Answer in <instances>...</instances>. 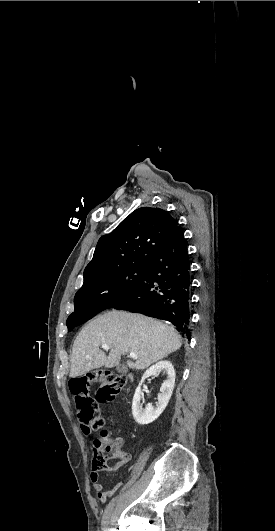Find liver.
<instances>
[{"instance_id": "6515ba94", "label": "liver", "mask_w": 275, "mask_h": 531, "mask_svg": "<svg viewBox=\"0 0 275 531\" xmlns=\"http://www.w3.org/2000/svg\"><path fill=\"white\" fill-rule=\"evenodd\" d=\"M100 345H109L110 353L100 351ZM181 337L173 325H164L151 317L106 311L89 321L74 341L69 377H80L99 367H117L121 355L136 353L138 359L127 361L129 369H147L153 363L180 349Z\"/></svg>"}]
</instances>
